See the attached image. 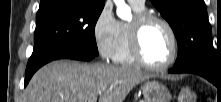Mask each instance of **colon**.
Masks as SVG:
<instances>
[{
    "mask_svg": "<svg viewBox=\"0 0 221 102\" xmlns=\"http://www.w3.org/2000/svg\"><path fill=\"white\" fill-rule=\"evenodd\" d=\"M178 101L179 102H197V95L193 89L186 87L180 91Z\"/></svg>",
    "mask_w": 221,
    "mask_h": 102,
    "instance_id": "colon-1",
    "label": "colon"
}]
</instances>
